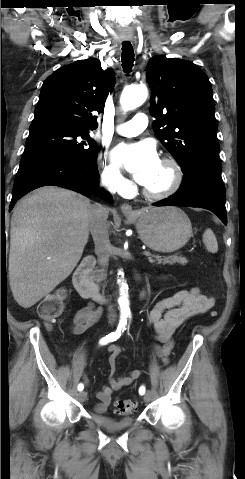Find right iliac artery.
Listing matches in <instances>:
<instances>
[{"instance_id": "right-iliac-artery-1", "label": "right iliac artery", "mask_w": 245, "mask_h": 479, "mask_svg": "<svg viewBox=\"0 0 245 479\" xmlns=\"http://www.w3.org/2000/svg\"><path fill=\"white\" fill-rule=\"evenodd\" d=\"M126 325H127V319H126L125 316H122L120 318V321H119V324H118V327H117L116 331H114V332L106 335L105 337H103L99 341V344L100 345H106L109 342L116 341L121 336V334L126 330ZM77 388H78L79 391H82L84 389V385L82 383H80Z\"/></svg>"}]
</instances>
